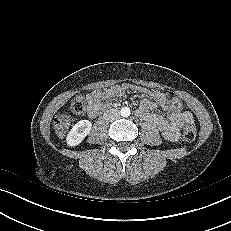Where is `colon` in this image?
Instances as JSON below:
<instances>
[{
  "instance_id": "1",
  "label": "colon",
  "mask_w": 231,
  "mask_h": 231,
  "mask_svg": "<svg viewBox=\"0 0 231 231\" xmlns=\"http://www.w3.org/2000/svg\"><path fill=\"white\" fill-rule=\"evenodd\" d=\"M171 106L176 110H182L183 103L177 98L173 97L170 99ZM71 110L76 114H83L87 110V105L82 97L75 98L71 103ZM71 120L66 114H60L54 118L53 127L55 133L59 137H64L70 127ZM196 137V127L194 122H187L182 127V138L187 142H191Z\"/></svg>"
}]
</instances>
